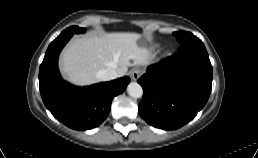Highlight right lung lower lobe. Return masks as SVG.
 Here are the masks:
<instances>
[{
  "label": "right lung lower lobe",
  "instance_id": "obj_1",
  "mask_svg": "<svg viewBox=\"0 0 258 158\" xmlns=\"http://www.w3.org/2000/svg\"><path fill=\"white\" fill-rule=\"evenodd\" d=\"M73 34L61 33L48 47L39 69V86L46 108L62 123L75 130L101 124L111 109L114 96L122 93L129 77L87 87L64 81L58 70V56Z\"/></svg>",
  "mask_w": 258,
  "mask_h": 158
}]
</instances>
